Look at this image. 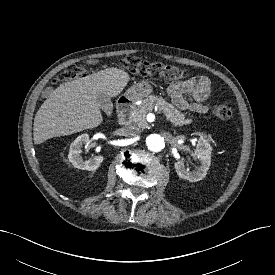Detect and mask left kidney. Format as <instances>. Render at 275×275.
<instances>
[{
	"mask_svg": "<svg viewBox=\"0 0 275 275\" xmlns=\"http://www.w3.org/2000/svg\"><path fill=\"white\" fill-rule=\"evenodd\" d=\"M211 151L212 148L207 140L200 137L196 146V156L200 160V167L196 170L190 171L189 168L185 167L183 160H178L174 164L178 176L190 182L202 180L206 176L211 164Z\"/></svg>",
	"mask_w": 275,
	"mask_h": 275,
	"instance_id": "obj_1",
	"label": "left kidney"
}]
</instances>
